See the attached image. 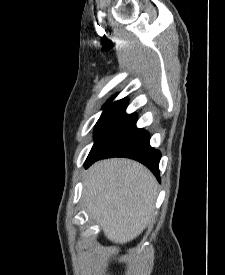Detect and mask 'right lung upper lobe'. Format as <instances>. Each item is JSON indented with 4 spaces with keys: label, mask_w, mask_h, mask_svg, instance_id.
<instances>
[{
    "label": "right lung upper lobe",
    "mask_w": 225,
    "mask_h": 275,
    "mask_svg": "<svg viewBox=\"0 0 225 275\" xmlns=\"http://www.w3.org/2000/svg\"><path fill=\"white\" fill-rule=\"evenodd\" d=\"M113 100L110 99L107 104L103 106V113L101 116H123V117H130L133 116L134 114L127 115L125 113V109L127 107L128 101L126 98L118 100L114 103H111Z\"/></svg>",
    "instance_id": "cb5924a9"
}]
</instances>
